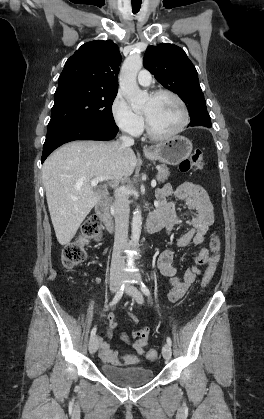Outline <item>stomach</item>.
<instances>
[{
	"label": "stomach",
	"instance_id": "stomach-1",
	"mask_svg": "<svg viewBox=\"0 0 264 419\" xmlns=\"http://www.w3.org/2000/svg\"><path fill=\"white\" fill-rule=\"evenodd\" d=\"M192 152V142L184 136H174L158 144L150 153L145 154L150 160H159L169 165H177Z\"/></svg>",
	"mask_w": 264,
	"mask_h": 419
}]
</instances>
